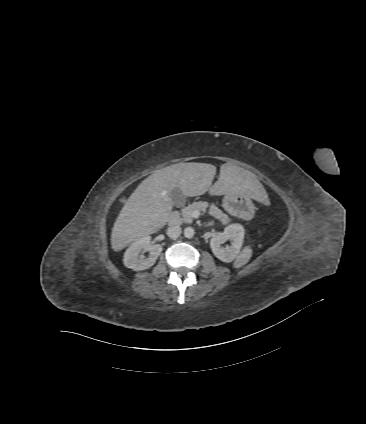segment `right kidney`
Wrapping results in <instances>:
<instances>
[{"instance_id":"obj_1","label":"right kidney","mask_w":366,"mask_h":424,"mask_svg":"<svg viewBox=\"0 0 366 424\" xmlns=\"http://www.w3.org/2000/svg\"><path fill=\"white\" fill-rule=\"evenodd\" d=\"M160 244H153L150 236H144L130 245L126 250L123 263L127 268L134 271L148 269L154 265L158 256L162 252ZM148 251L149 255L145 257L141 252Z\"/></svg>"}]
</instances>
